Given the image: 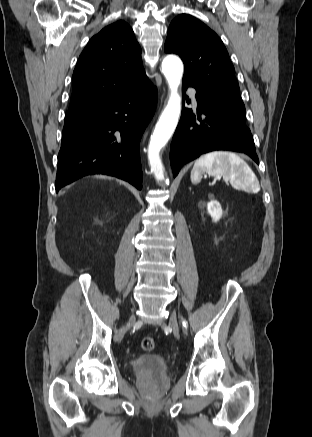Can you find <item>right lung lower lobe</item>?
<instances>
[{"mask_svg": "<svg viewBox=\"0 0 312 437\" xmlns=\"http://www.w3.org/2000/svg\"><path fill=\"white\" fill-rule=\"evenodd\" d=\"M156 106V91L144 75L106 103L63 127L55 189L90 174H106L142 189L140 140Z\"/></svg>", "mask_w": 312, "mask_h": 437, "instance_id": "right-lung-lower-lobe-1", "label": "right lung lower lobe"}]
</instances>
